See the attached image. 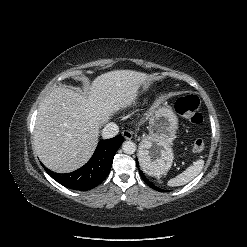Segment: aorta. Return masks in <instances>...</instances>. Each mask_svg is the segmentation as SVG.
Listing matches in <instances>:
<instances>
[{
    "mask_svg": "<svg viewBox=\"0 0 247 247\" xmlns=\"http://www.w3.org/2000/svg\"><path fill=\"white\" fill-rule=\"evenodd\" d=\"M122 150L126 154H133L136 151V144L132 141H125L122 144Z\"/></svg>",
    "mask_w": 247,
    "mask_h": 247,
    "instance_id": "762f6f07",
    "label": "aorta"
}]
</instances>
